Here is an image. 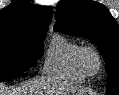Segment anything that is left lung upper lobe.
<instances>
[{"label":"left lung upper lobe","instance_id":"left-lung-upper-lobe-1","mask_svg":"<svg viewBox=\"0 0 119 95\" xmlns=\"http://www.w3.org/2000/svg\"><path fill=\"white\" fill-rule=\"evenodd\" d=\"M54 29L97 45L106 62L107 94L119 95V27L107 8L92 0H63L57 5Z\"/></svg>","mask_w":119,"mask_h":95}]
</instances>
